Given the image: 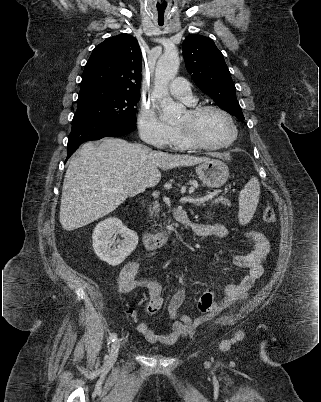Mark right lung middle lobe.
<instances>
[{"label": "right lung middle lobe", "mask_w": 321, "mask_h": 402, "mask_svg": "<svg viewBox=\"0 0 321 402\" xmlns=\"http://www.w3.org/2000/svg\"><path fill=\"white\" fill-rule=\"evenodd\" d=\"M140 94L100 87L81 88L77 111L72 123L80 121H120L136 124V108Z\"/></svg>", "instance_id": "obj_1"}]
</instances>
